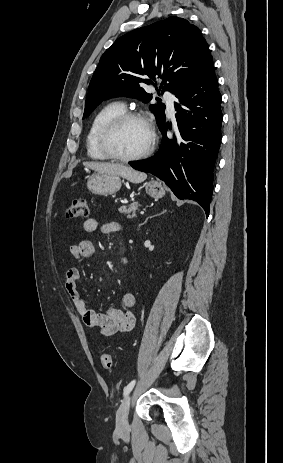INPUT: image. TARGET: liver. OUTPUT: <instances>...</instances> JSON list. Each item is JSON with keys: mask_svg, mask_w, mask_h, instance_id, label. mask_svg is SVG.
Listing matches in <instances>:
<instances>
[{"mask_svg": "<svg viewBox=\"0 0 283 463\" xmlns=\"http://www.w3.org/2000/svg\"><path fill=\"white\" fill-rule=\"evenodd\" d=\"M83 165L101 174H110L123 177L132 183H141L147 178L146 173L136 171L129 166L119 163L84 162Z\"/></svg>", "mask_w": 283, "mask_h": 463, "instance_id": "obj_1", "label": "liver"}]
</instances>
